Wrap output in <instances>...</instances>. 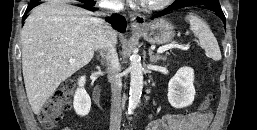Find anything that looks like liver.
I'll use <instances>...</instances> for the list:
<instances>
[{"mask_svg": "<svg viewBox=\"0 0 257 130\" xmlns=\"http://www.w3.org/2000/svg\"><path fill=\"white\" fill-rule=\"evenodd\" d=\"M91 15L58 0H48L26 19L21 32L22 70L35 114L63 81L92 60L103 21ZM71 58L75 62L70 63Z\"/></svg>", "mask_w": 257, "mask_h": 130, "instance_id": "liver-1", "label": "liver"}]
</instances>
